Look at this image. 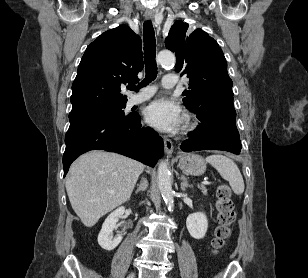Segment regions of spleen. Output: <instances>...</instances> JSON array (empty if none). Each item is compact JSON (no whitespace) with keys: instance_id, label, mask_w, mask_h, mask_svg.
<instances>
[{"instance_id":"1","label":"spleen","mask_w":308,"mask_h":278,"mask_svg":"<svg viewBox=\"0 0 308 278\" xmlns=\"http://www.w3.org/2000/svg\"><path fill=\"white\" fill-rule=\"evenodd\" d=\"M206 161L218 171L223 179L229 182L235 194L241 195L244 192L243 177L232 159L221 154H213L208 156Z\"/></svg>"}]
</instances>
